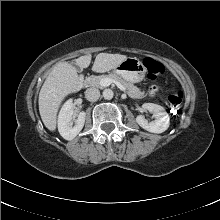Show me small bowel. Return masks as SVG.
Listing matches in <instances>:
<instances>
[{"mask_svg": "<svg viewBox=\"0 0 220 220\" xmlns=\"http://www.w3.org/2000/svg\"><path fill=\"white\" fill-rule=\"evenodd\" d=\"M159 92V87L156 84H151L146 90V95L149 98H154Z\"/></svg>", "mask_w": 220, "mask_h": 220, "instance_id": "small-bowel-1", "label": "small bowel"}]
</instances>
